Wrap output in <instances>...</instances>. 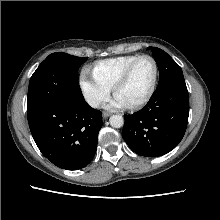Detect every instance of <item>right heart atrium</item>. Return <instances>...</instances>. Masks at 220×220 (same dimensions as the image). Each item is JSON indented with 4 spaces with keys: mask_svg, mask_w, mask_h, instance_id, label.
Returning <instances> with one entry per match:
<instances>
[{
    "mask_svg": "<svg viewBox=\"0 0 220 220\" xmlns=\"http://www.w3.org/2000/svg\"><path fill=\"white\" fill-rule=\"evenodd\" d=\"M79 83L85 101L93 108L99 107L111 93V87L98 80L88 68L82 70Z\"/></svg>",
    "mask_w": 220,
    "mask_h": 220,
    "instance_id": "d8ad5b80",
    "label": "right heart atrium"
}]
</instances>
